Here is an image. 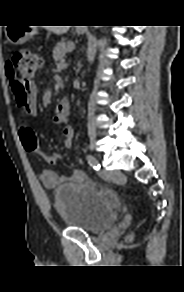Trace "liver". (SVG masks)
<instances>
[{"mask_svg": "<svg viewBox=\"0 0 184 292\" xmlns=\"http://www.w3.org/2000/svg\"><path fill=\"white\" fill-rule=\"evenodd\" d=\"M47 29L57 35H61L69 30V26H49Z\"/></svg>", "mask_w": 184, "mask_h": 292, "instance_id": "obj_1", "label": "liver"}]
</instances>
